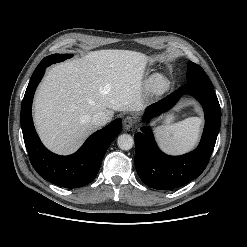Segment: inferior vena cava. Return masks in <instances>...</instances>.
<instances>
[{
    "label": "inferior vena cava",
    "mask_w": 247,
    "mask_h": 247,
    "mask_svg": "<svg viewBox=\"0 0 247 247\" xmlns=\"http://www.w3.org/2000/svg\"><path fill=\"white\" fill-rule=\"evenodd\" d=\"M109 122V116L105 112H98L92 117V123L97 127L105 126Z\"/></svg>",
    "instance_id": "1"
}]
</instances>
